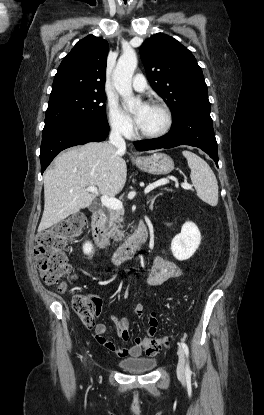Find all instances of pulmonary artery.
<instances>
[{"mask_svg": "<svg viewBox=\"0 0 264 415\" xmlns=\"http://www.w3.org/2000/svg\"><path fill=\"white\" fill-rule=\"evenodd\" d=\"M132 87L139 92L147 89V82L142 74H136L132 79Z\"/></svg>", "mask_w": 264, "mask_h": 415, "instance_id": "pulmonary-artery-1", "label": "pulmonary artery"}]
</instances>
